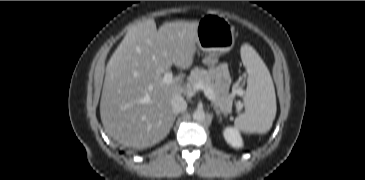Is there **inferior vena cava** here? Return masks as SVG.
I'll return each instance as SVG.
<instances>
[{"instance_id": "1", "label": "inferior vena cava", "mask_w": 365, "mask_h": 180, "mask_svg": "<svg viewBox=\"0 0 365 180\" xmlns=\"http://www.w3.org/2000/svg\"><path fill=\"white\" fill-rule=\"evenodd\" d=\"M171 106L174 113H180L186 110L187 103L180 95H175L171 100Z\"/></svg>"}]
</instances>
